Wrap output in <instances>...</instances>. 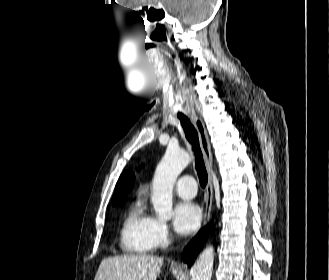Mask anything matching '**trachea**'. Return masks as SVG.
<instances>
[{
	"instance_id": "3493384b",
	"label": "trachea",
	"mask_w": 329,
	"mask_h": 280,
	"mask_svg": "<svg viewBox=\"0 0 329 280\" xmlns=\"http://www.w3.org/2000/svg\"><path fill=\"white\" fill-rule=\"evenodd\" d=\"M181 126L184 130L186 139L192 145V150L195 156V167L197 170L199 182L202 188H205L208 182V175L203 160V155L199 145L198 133L190 120L183 114H178Z\"/></svg>"
}]
</instances>
